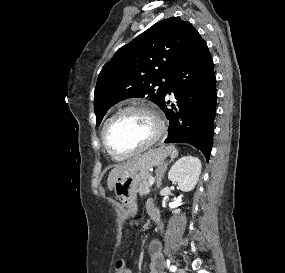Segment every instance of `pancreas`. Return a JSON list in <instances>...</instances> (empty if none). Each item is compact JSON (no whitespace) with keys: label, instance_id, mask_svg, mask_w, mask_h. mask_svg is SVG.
I'll return each mask as SVG.
<instances>
[{"label":"pancreas","instance_id":"cf45deb5","mask_svg":"<svg viewBox=\"0 0 285 273\" xmlns=\"http://www.w3.org/2000/svg\"><path fill=\"white\" fill-rule=\"evenodd\" d=\"M149 182H150V176H148L145 180H143L139 184L138 192L141 197L146 196L150 193L151 186L149 185Z\"/></svg>","mask_w":285,"mask_h":273}]
</instances>
